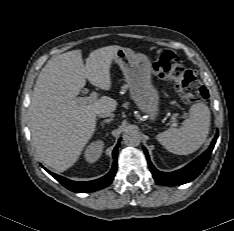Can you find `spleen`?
Returning a JSON list of instances; mask_svg holds the SVG:
<instances>
[{
	"label": "spleen",
	"instance_id": "1",
	"mask_svg": "<svg viewBox=\"0 0 234 231\" xmlns=\"http://www.w3.org/2000/svg\"><path fill=\"white\" fill-rule=\"evenodd\" d=\"M210 127V110L204 103L190 107L189 118L180 128H170L156 136L160 144L169 152L188 155L198 150L205 142Z\"/></svg>",
	"mask_w": 234,
	"mask_h": 231
}]
</instances>
